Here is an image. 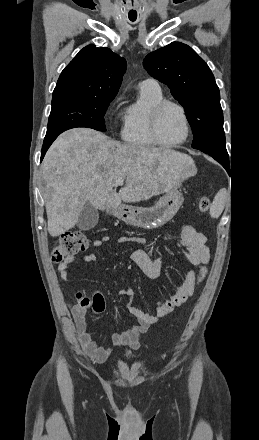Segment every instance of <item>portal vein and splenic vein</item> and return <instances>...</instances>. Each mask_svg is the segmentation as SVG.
Returning a JSON list of instances; mask_svg holds the SVG:
<instances>
[{
	"label": "portal vein and splenic vein",
	"mask_w": 259,
	"mask_h": 440,
	"mask_svg": "<svg viewBox=\"0 0 259 440\" xmlns=\"http://www.w3.org/2000/svg\"><path fill=\"white\" fill-rule=\"evenodd\" d=\"M124 184V179L122 177L118 178L115 182L114 185L118 186V185H123Z\"/></svg>",
	"instance_id": "18ae733b"
}]
</instances>
